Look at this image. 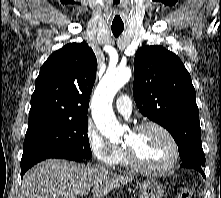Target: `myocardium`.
Segmentation results:
<instances>
[{
  "label": "myocardium",
  "mask_w": 221,
  "mask_h": 198,
  "mask_svg": "<svg viewBox=\"0 0 221 198\" xmlns=\"http://www.w3.org/2000/svg\"><path fill=\"white\" fill-rule=\"evenodd\" d=\"M148 128L158 129L170 141L171 146H172V157L167 164L161 167H157V168L147 167L143 165L142 163H140V161L137 159V156L133 148H131L130 146L124 145L123 149L126 155L127 162L132 169L140 173H144V174L162 175V174L167 173L171 169H173L178 163V160L180 157L179 144L175 136L171 133V131L168 128H166L164 125L155 121H147V122L140 123L133 127L132 132L135 134H138Z\"/></svg>",
  "instance_id": "f54148a6"
}]
</instances>
